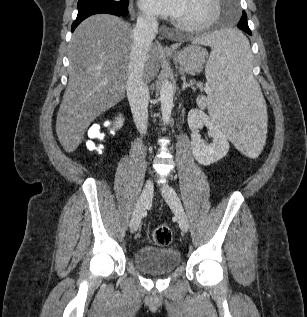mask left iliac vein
I'll return each mask as SVG.
<instances>
[{"label": "left iliac vein", "mask_w": 307, "mask_h": 317, "mask_svg": "<svg viewBox=\"0 0 307 317\" xmlns=\"http://www.w3.org/2000/svg\"><path fill=\"white\" fill-rule=\"evenodd\" d=\"M162 195L167 204L174 211L181 230L183 232H187L189 228L188 218L182 206L181 200L175 190L170 186H164L162 188Z\"/></svg>", "instance_id": "4c4485c4"}]
</instances>
